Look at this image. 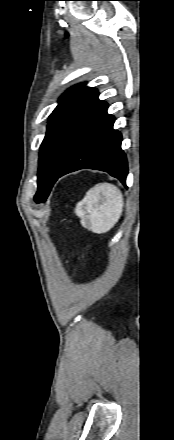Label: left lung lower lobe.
<instances>
[{
    "label": "left lung lower lobe",
    "mask_w": 174,
    "mask_h": 440,
    "mask_svg": "<svg viewBox=\"0 0 174 440\" xmlns=\"http://www.w3.org/2000/svg\"><path fill=\"white\" fill-rule=\"evenodd\" d=\"M107 109L108 104L103 101L89 118L56 180L67 173L89 168L108 172L126 185L128 167L121 149L122 136L113 129L115 119Z\"/></svg>",
    "instance_id": "obj_1"
}]
</instances>
